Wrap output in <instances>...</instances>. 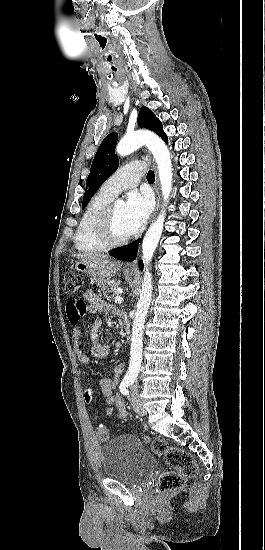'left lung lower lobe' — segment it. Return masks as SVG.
Returning a JSON list of instances; mask_svg holds the SVG:
<instances>
[{"mask_svg": "<svg viewBox=\"0 0 265 550\" xmlns=\"http://www.w3.org/2000/svg\"><path fill=\"white\" fill-rule=\"evenodd\" d=\"M139 241L140 239L127 246L117 248L110 255L124 261H133L136 258ZM138 266L143 269V261H139Z\"/></svg>", "mask_w": 265, "mask_h": 550, "instance_id": "0a47b994", "label": "left lung lower lobe"}]
</instances>
